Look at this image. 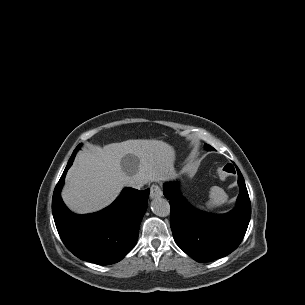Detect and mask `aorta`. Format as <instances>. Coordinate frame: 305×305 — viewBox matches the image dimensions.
Wrapping results in <instances>:
<instances>
[{
    "label": "aorta",
    "mask_w": 305,
    "mask_h": 305,
    "mask_svg": "<svg viewBox=\"0 0 305 305\" xmlns=\"http://www.w3.org/2000/svg\"><path fill=\"white\" fill-rule=\"evenodd\" d=\"M150 208L152 212L158 216H166L169 213L168 202L161 197L153 199Z\"/></svg>",
    "instance_id": "1"
}]
</instances>
